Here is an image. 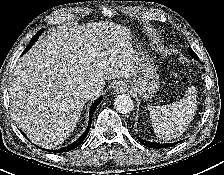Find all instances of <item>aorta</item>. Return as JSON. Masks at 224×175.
Returning a JSON list of instances; mask_svg holds the SVG:
<instances>
[{
  "mask_svg": "<svg viewBox=\"0 0 224 175\" xmlns=\"http://www.w3.org/2000/svg\"><path fill=\"white\" fill-rule=\"evenodd\" d=\"M114 106L119 113L123 114L131 112L134 108L133 100L125 94L118 95L115 98Z\"/></svg>",
  "mask_w": 224,
  "mask_h": 175,
  "instance_id": "1",
  "label": "aorta"
}]
</instances>
